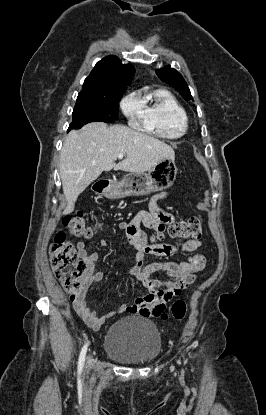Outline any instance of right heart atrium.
<instances>
[{"mask_svg": "<svg viewBox=\"0 0 266 415\" xmlns=\"http://www.w3.org/2000/svg\"><path fill=\"white\" fill-rule=\"evenodd\" d=\"M120 108L125 117L131 123H134L139 117H141V103L135 93H130L125 96L120 103Z\"/></svg>", "mask_w": 266, "mask_h": 415, "instance_id": "d8ad5b80", "label": "right heart atrium"}]
</instances>
